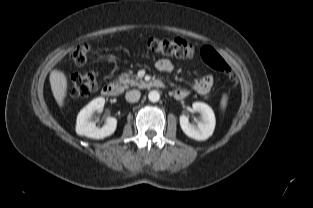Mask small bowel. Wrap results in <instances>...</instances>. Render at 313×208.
<instances>
[{
	"label": "small bowel",
	"instance_id": "obj_1",
	"mask_svg": "<svg viewBox=\"0 0 313 208\" xmlns=\"http://www.w3.org/2000/svg\"><path fill=\"white\" fill-rule=\"evenodd\" d=\"M156 69L160 72L169 73L173 70L172 63L167 59H160L155 64ZM213 86V78L210 75L197 77L193 80L192 89L201 95L207 94ZM186 89L178 88L172 92L174 98L181 100L188 96Z\"/></svg>",
	"mask_w": 313,
	"mask_h": 208
}]
</instances>
